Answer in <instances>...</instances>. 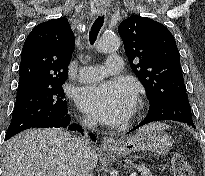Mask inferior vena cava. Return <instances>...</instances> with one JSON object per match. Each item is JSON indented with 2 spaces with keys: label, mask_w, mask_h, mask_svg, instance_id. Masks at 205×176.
Wrapping results in <instances>:
<instances>
[{
  "label": "inferior vena cava",
  "mask_w": 205,
  "mask_h": 176,
  "mask_svg": "<svg viewBox=\"0 0 205 176\" xmlns=\"http://www.w3.org/2000/svg\"><path fill=\"white\" fill-rule=\"evenodd\" d=\"M82 125L86 129L91 130L96 127L97 123L93 120L85 119ZM73 145L79 158L80 169L77 176H93L89 160L87 159L88 155L92 152L90 139L88 137H75L73 139Z\"/></svg>",
  "instance_id": "inferior-vena-cava-1"
}]
</instances>
